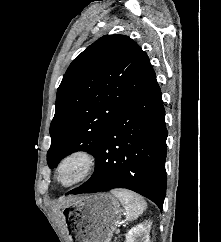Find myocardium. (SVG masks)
I'll use <instances>...</instances> for the list:
<instances>
[{"instance_id":"myocardium-1","label":"myocardium","mask_w":221,"mask_h":242,"mask_svg":"<svg viewBox=\"0 0 221 242\" xmlns=\"http://www.w3.org/2000/svg\"><path fill=\"white\" fill-rule=\"evenodd\" d=\"M67 167H72L73 174L69 180L63 178ZM96 168L94 155L85 149H76L63 155L56 163L53 177L55 183L61 188H70L89 178Z\"/></svg>"}]
</instances>
